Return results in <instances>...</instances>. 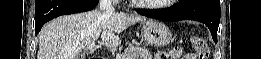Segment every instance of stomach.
Masks as SVG:
<instances>
[{
	"mask_svg": "<svg viewBox=\"0 0 261 59\" xmlns=\"http://www.w3.org/2000/svg\"><path fill=\"white\" fill-rule=\"evenodd\" d=\"M142 40L154 47H163L172 42L173 37L169 28L158 20H145L141 28Z\"/></svg>",
	"mask_w": 261,
	"mask_h": 59,
	"instance_id": "stomach-1",
	"label": "stomach"
}]
</instances>
